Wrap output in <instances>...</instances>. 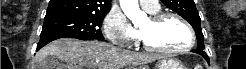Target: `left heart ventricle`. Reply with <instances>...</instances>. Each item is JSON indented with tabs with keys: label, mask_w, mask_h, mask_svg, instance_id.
<instances>
[{
	"label": "left heart ventricle",
	"mask_w": 246,
	"mask_h": 69,
	"mask_svg": "<svg viewBox=\"0 0 246 69\" xmlns=\"http://www.w3.org/2000/svg\"><path fill=\"white\" fill-rule=\"evenodd\" d=\"M139 33L151 46L164 49L180 48L188 40L184 26L173 18L158 24L149 19L139 27Z\"/></svg>",
	"instance_id": "1"
}]
</instances>
